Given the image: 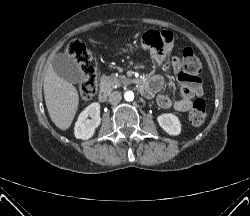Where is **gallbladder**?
I'll return each instance as SVG.
<instances>
[{
  "instance_id": "gallbladder-1",
  "label": "gallbladder",
  "mask_w": 250,
  "mask_h": 216,
  "mask_svg": "<svg viewBox=\"0 0 250 216\" xmlns=\"http://www.w3.org/2000/svg\"><path fill=\"white\" fill-rule=\"evenodd\" d=\"M51 65L61 78L70 83H80L83 79L81 68L67 54H56L51 61Z\"/></svg>"
}]
</instances>
